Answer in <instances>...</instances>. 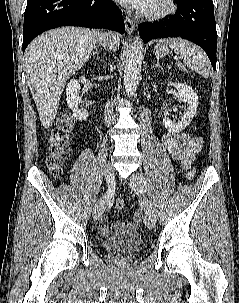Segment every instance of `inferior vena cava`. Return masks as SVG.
Segmentation results:
<instances>
[{"mask_svg":"<svg viewBox=\"0 0 239 303\" xmlns=\"http://www.w3.org/2000/svg\"><path fill=\"white\" fill-rule=\"evenodd\" d=\"M108 33L106 32H100L99 33V40L100 41H105L106 37H108ZM114 120V117H113V108H112V105L110 104V102L107 103L106 105V108H105V121L107 123H110L111 121Z\"/></svg>","mask_w":239,"mask_h":303,"instance_id":"1","label":"inferior vena cava"}]
</instances>
